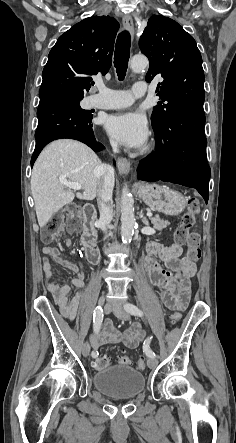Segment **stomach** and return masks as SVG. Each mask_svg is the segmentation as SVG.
Returning <instances> with one entry per match:
<instances>
[{"label": "stomach", "instance_id": "1", "mask_svg": "<svg viewBox=\"0 0 236 443\" xmlns=\"http://www.w3.org/2000/svg\"><path fill=\"white\" fill-rule=\"evenodd\" d=\"M137 195L151 209L170 216L180 214L186 207L181 193L159 184H142Z\"/></svg>", "mask_w": 236, "mask_h": 443}]
</instances>
